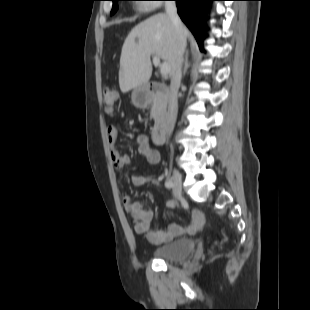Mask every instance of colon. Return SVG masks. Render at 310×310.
Segmentation results:
<instances>
[{"label": "colon", "mask_w": 310, "mask_h": 310, "mask_svg": "<svg viewBox=\"0 0 310 310\" xmlns=\"http://www.w3.org/2000/svg\"><path fill=\"white\" fill-rule=\"evenodd\" d=\"M118 101V94L115 89L106 87L102 95V104L107 111H111Z\"/></svg>", "instance_id": "colon-1"}]
</instances>
